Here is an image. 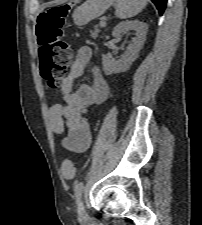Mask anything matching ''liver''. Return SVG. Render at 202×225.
Listing matches in <instances>:
<instances>
[{
    "label": "liver",
    "instance_id": "1",
    "mask_svg": "<svg viewBox=\"0 0 202 225\" xmlns=\"http://www.w3.org/2000/svg\"><path fill=\"white\" fill-rule=\"evenodd\" d=\"M65 1H67V0H62V2H65Z\"/></svg>",
    "mask_w": 202,
    "mask_h": 225
}]
</instances>
